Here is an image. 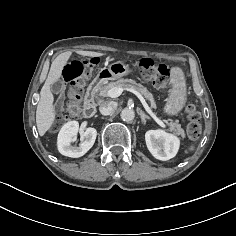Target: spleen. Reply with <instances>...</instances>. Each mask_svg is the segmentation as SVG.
Instances as JSON below:
<instances>
[{"mask_svg":"<svg viewBox=\"0 0 236 236\" xmlns=\"http://www.w3.org/2000/svg\"><path fill=\"white\" fill-rule=\"evenodd\" d=\"M195 147L194 145L192 144L190 147H189V151H194Z\"/></svg>","mask_w":236,"mask_h":236,"instance_id":"spleen-1","label":"spleen"}]
</instances>
